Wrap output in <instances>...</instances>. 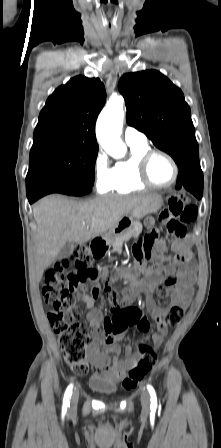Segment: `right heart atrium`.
I'll use <instances>...</instances> for the list:
<instances>
[{
  "instance_id": "d8ad5b80",
  "label": "right heart atrium",
  "mask_w": 221,
  "mask_h": 448,
  "mask_svg": "<svg viewBox=\"0 0 221 448\" xmlns=\"http://www.w3.org/2000/svg\"><path fill=\"white\" fill-rule=\"evenodd\" d=\"M95 186L99 192L111 190L114 179V167H111L108 156L100 151L96 155L93 164Z\"/></svg>"
}]
</instances>
